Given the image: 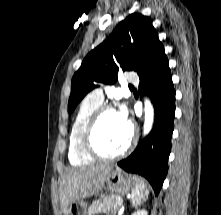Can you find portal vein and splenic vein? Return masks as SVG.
<instances>
[{
    "label": "portal vein and splenic vein",
    "mask_w": 221,
    "mask_h": 215,
    "mask_svg": "<svg viewBox=\"0 0 221 215\" xmlns=\"http://www.w3.org/2000/svg\"><path fill=\"white\" fill-rule=\"evenodd\" d=\"M118 203L119 204H122L123 203V200L120 198V199H118Z\"/></svg>",
    "instance_id": "1"
}]
</instances>
